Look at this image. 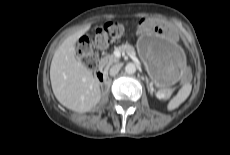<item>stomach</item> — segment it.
<instances>
[{
  "mask_svg": "<svg viewBox=\"0 0 230 155\" xmlns=\"http://www.w3.org/2000/svg\"><path fill=\"white\" fill-rule=\"evenodd\" d=\"M137 51L155 87L165 92L181 77L186 56L175 40L152 32L139 37Z\"/></svg>",
  "mask_w": 230,
  "mask_h": 155,
  "instance_id": "0dacf381",
  "label": "stomach"
}]
</instances>
